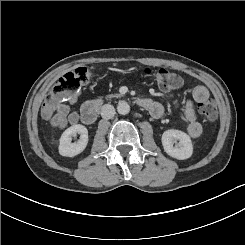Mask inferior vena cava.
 Returning a JSON list of instances; mask_svg holds the SVG:
<instances>
[{"label":"inferior vena cava","mask_w":245,"mask_h":245,"mask_svg":"<svg viewBox=\"0 0 245 245\" xmlns=\"http://www.w3.org/2000/svg\"><path fill=\"white\" fill-rule=\"evenodd\" d=\"M115 114V109L112 105L105 104L101 107V117L103 119H111Z\"/></svg>","instance_id":"obj_1"}]
</instances>
